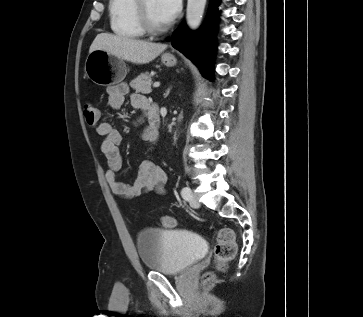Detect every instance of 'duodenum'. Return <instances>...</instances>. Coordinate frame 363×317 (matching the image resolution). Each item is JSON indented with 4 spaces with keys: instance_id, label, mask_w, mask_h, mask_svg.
I'll list each match as a JSON object with an SVG mask.
<instances>
[{
    "instance_id": "obj_1",
    "label": "duodenum",
    "mask_w": 363,
    "mask_h": 317,
    "mask_svg": "<svg viewBox=\"0 0 363 317\" xmlns=\"http://www.w3.org/2000/svg\"><path fill=\"white\" fill-rule=\"evenodd\" d=\"M147 112L149 120V126L147 128L148 140L156 143L159 139V106L155 103L149 104Z\"/></svg>"
}]
</instances>
